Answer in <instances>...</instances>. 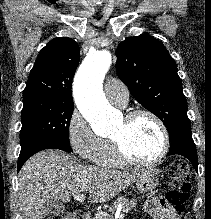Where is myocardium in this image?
I'll return each mask as SVG.
<instances>
[{
  "label": "myocardium",
  "mask_w": 211,
  "mask_h": 219,
  "mask_svg": "<svg viewBox=\"0 0 211 219\" xmlns=\"http://www.w3.org/2000/svg\"><path fill=\"white\" fill-rule=\"evenodd\" d=\"M140 116H147L151 118L159 127L162 136V145L158 155L151 160H137L131 157L124 149L121 141L117 138H111V143L115 152L117 159L124 165L135 166V167H152L159 164L168 154L170 148V137L168 129L164 121L153 111L148 109H136L130 111L125 116V121L127 123L132 122Z\"/></svg>",
  "instance_id": "f54148a6"
}]
</instances>
